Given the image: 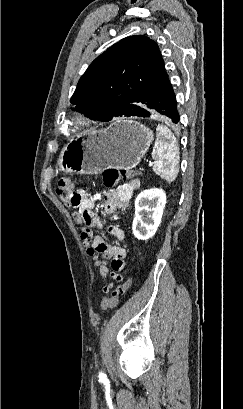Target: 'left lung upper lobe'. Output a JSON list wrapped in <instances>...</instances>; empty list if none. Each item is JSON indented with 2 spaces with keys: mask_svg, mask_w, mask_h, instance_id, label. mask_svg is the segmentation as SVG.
I'll use <instances>...</instances> for the list:
<instances>
[{
  "mask_svg": "<svg viewBox=\"0 0 243 409\" xmlns=\"http://www.w3.org/2000/svg\"><path fill=\"white\" fill-rule=\"evenodd\" d=\"M167 76L157 43L143 35L129 36L98 56L80 78L70 102L100 120L122 115Z\"/></svg>",
  "mask_w": 243,
  "mask_h": 409,
  "instance_id": "5c2ea615",
  "label": "left lung upper lobe"
}]
</instances>
